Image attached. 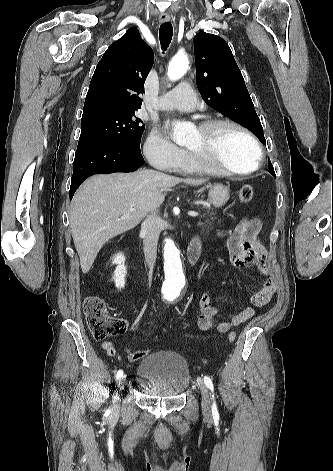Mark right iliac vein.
<instances>
[{"instance_id":"right-iliac-vein-1","label":"right iliac vein","mask_w":333,"mask_h":471,"mask_svg":"<svg viewBox=\"0 0 333 471\" xmlns=\"http://www.w3.org/2000/svg\"><path fill=\"white\" fill-rule=\"evenodd\" d=\"M124 381H125V376H122V377L118 380V383H117L116 386H115V393H116V397H115V407H118V404H119V397H118V394L120 393L121 386L123 385Z\"/></svg>"}]
</instances>
